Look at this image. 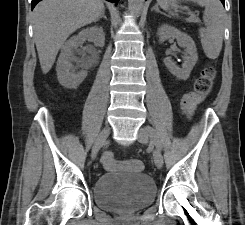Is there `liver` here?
<instances>
[{
	"instance_id": "6515ba94",
	"label": "liver",
	"mask_w": 245,
	"mask_h": 225,
	"mask_svg": "<svg viewBox=\"0 0 245 225\" xmlns=\"http://www.w3.org/2000/svg\"><path fill=\"white\" fill-rule=\"evenodd\" d=\"M102 0H43L33 11V30L42 72L52 68L58 51L77 29L97 21Z\"/></svg>"
}]
</instances>
